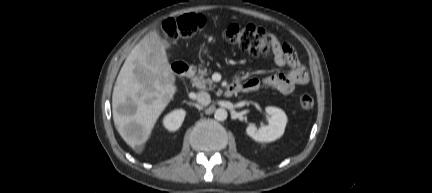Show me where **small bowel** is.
I'll return each mask as SVG.
<instances>
[{"label": "small bowel", "instance_id": "obj_1", "mask_svg": "<svg viewBox=\"0 0 432 193\" xmlns=\"http://www.w3.org/2000/svg\"><path fill=\"white\" fill-rule=\"evenodd\" d=\"M272 36V53L276 65L287 67V71L270 75L263 80L250 78L244 82L236 81L242 91H255L261 86L278 90L283 94H290L296 86L305 85L309 81V73L297 59L294 50L287 43H281L274 35Z\"/></svg>", "mask_w": 432, "mask_h": 193}]
</instances>
